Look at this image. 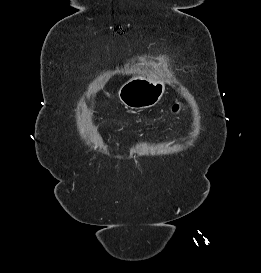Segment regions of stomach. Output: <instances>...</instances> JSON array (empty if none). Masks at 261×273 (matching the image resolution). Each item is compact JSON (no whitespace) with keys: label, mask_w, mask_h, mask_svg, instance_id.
<instances>
[{"label":"stomach","mask_w":261,"mask_h":273,"mask_svg":"<svg viewBox=\"0 0 261 273\" xmlns=\"http://www.w3.org/2000/svg\"><path fill=\"white\" fill-rule=\"evenodd\" d=\"M164 92V81L137 75L120 87L118 97L126 107L147 109L155 106Z\"/></svg>","instance_id":"0dacf381"}]
</instances>
